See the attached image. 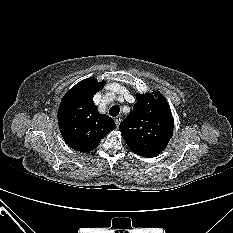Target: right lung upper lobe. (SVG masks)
<instances>
[{"mask_svg": "<svg viewBox=\"0 0 233 233\" xmlns=\"http://www.w3.org/2000/svg\"><path fill=\"white\" fill-rule=\"evenodd\" d=\"M105 85L88 78L77 83L63 97L58 110L61 135L74 150L88 152L94 150L100 140L116 125L112 118L100 114L93 102V96Z\"/></svg>", "mask_w": 233, "mask_h": 233, "instance_id": "1", "label": "right lung upper lobe"}]
</instances>
